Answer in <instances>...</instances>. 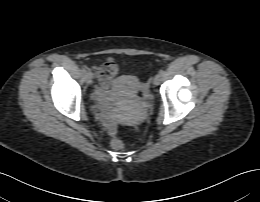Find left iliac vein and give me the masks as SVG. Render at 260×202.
Wrapping results in <instances>:
<instances>
[{
	"label": "left iliac vein",
	"mask_w": 260,
	"mask_h": 202,
	"mask_svg": "<svg viewBox=\"0 0 260 202\" xmlns=\"http://www.w3.org/2000/svg\"><path fill=\"white\" fill-rule=\"evenodd\" d=\"M160 82H161V75L160 74H156L154 76V78H153V84L157 86V85L160 84Z\"/></svg>",
	"instance_id": "4c4485c4"
}]
</instances>
